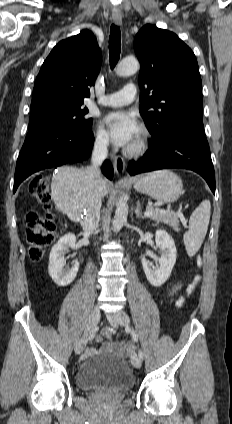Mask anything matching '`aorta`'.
I'll return each instance as SVG.
<instances>
[{"label": "aorta", "mask_w": 232, "mask_h": 424, "mask_svg": "<svg viewBox=\"0 0 232 424\" xmlns=\"http://www.w3.org/2000/svg\"><path fill=\"white\" fill-rule=\"evenodd\" d=\"M139 69V62L133 57L123 59L116 67L115 72L118 76H129L135 74ZM128 204L126 195L122 194L116 204L115 216L113 219V230L119 232L127 221Z\"/></svg>", "instance_id": "1"}]
</instances>
